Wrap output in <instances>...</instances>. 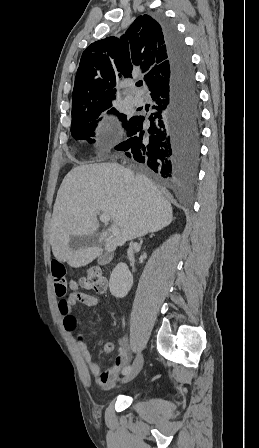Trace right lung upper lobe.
I'll list each match as a JSON object with an SVG mask.
<instances>
[{
	"label": "right lung upper lobe",
	"mask_w": 259,
	"mask_h": 448,
	"mask_svg": "<svg viewBox=\"0 0 259 448\" xmlns=\"http://www.w3.org/2000/svg\"><path fill=\"white\" fill-rule=\"evenodd\" d=\"M162 27L149 15H140L120 39L107 37L83 52L75 77L72 113L112 105L121 75L132 77L133 66L147 72L144 81L151 95L165 91L171 67Z\"/></svg>",
	"instance_id": "right-lung-upper-lobe-1"
}]
</instances>
